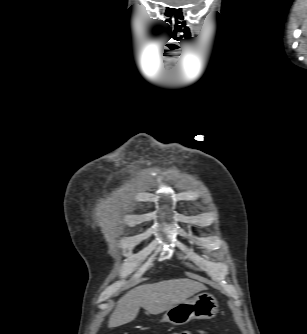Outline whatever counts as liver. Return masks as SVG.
I'll return each instance as SVG.
<instances>
[{
  "label": "liver",
  "instance_id": "obj_1",
  "mask_svg": "<svg viewBox=\"0 0 307 334\" xmlns=\"http://www.w3.org/2000/svg\"><path fill=\"white\" fill-rule=\"evenodd\" d=\"M206 289L202 283L190 279H172L140 285L119 299L109 318L108 327H119L133 321L140 307L151 314H159Z\"/></svg>",
  "mask_w": 307,
  "mask_h": 334
}]
</instances>
